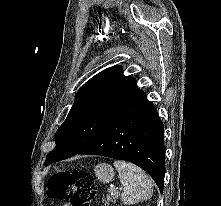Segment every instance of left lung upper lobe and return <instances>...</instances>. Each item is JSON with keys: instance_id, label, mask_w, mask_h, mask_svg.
<instances>
[{"instance_id": "1", "label": "left lung upper lobe", "mask_w": 221, "mask_h": 206, "mask_svg": "<svg viewBox=\"0 0 221 206\" xmlns=\"http://www.w3.org/2000/svg\"><path fill=\"white\" fill-rule=\"evenodd\" d=\"M142 94L135 79L123 75L121 66L95 75L76 94L66 120L56 132V147L48 154L44 165L78 153Z\"/></svg>"}]
</instances>
